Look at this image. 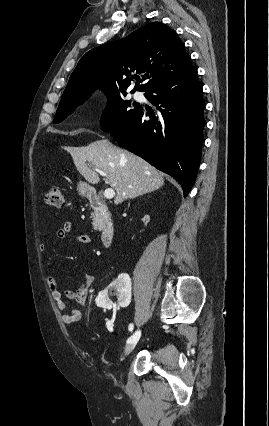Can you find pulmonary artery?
Here are the masks:
<instances>
[{"mask_svg":"<svg viewBox=\"0 0 269 426\" xmlns=\"http://www.w3.org/2000/svg\"><path fill=\"white\" fill-rule=\"evenodd\" d=\"M140 96V94L139 93H136V97H139Z\"/></svg>","mask_w":269,"mask_h":426,"instance_id":"1","label":"pulmonary artery"}]
</instances>
